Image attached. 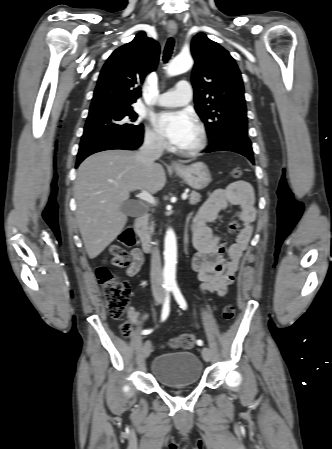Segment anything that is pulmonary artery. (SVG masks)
<instances>
[{"mask_svg": "<svg viewBox=\"0 0 332 449\" xmlns=\"http://www.w3.org/2000/svg\"><path fill=\"white\" fill-rule=\"evenodd\" d=\"M192 97V86L186 80L177 82L175 87L161 94L154 103L164 107H177L187 104Z\"/></svg>", "mask_w": 332, "mask_h": 449, "instance_id": "e3ab8cb5", "label": "pulmonary artery"}]
</instances>
